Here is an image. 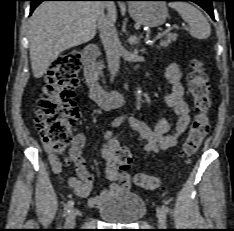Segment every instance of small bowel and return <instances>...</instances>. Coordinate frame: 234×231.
<instances>
[{
    "label": "small bowel",
    "mask_w": 234,
    "mask_h": 231,
    "mask_svg": "<svg viewBox=\"0 0 234 231\" xmlns=\"http://www.w3.org/2000/svg\"><path fill=\"white\" fill-rule=\"evenodd\" d=\"M165 75L171 85V92L165 95L164 101L178 116L173 133L167 134L171 129V123L165 117L160 119L153 127L132 117H121L112 122V126L115 127L124 121H128L131 128L139 133L143 149L151 153H157L176 146L191 120L190 109L184 97L182 73L179 66L177 64L169 65ZM84 143V136L78 134L70 148L69 159L75 165L77 177H70L68 185L77 196L86 198L90 207L97 208L126 188L129 184V177L118 170L117 152L120 145L112 131L108 130L104 133L100 153L106 162L105 177L110 184L99 194L92 196L94 174L87 169L85 160L82 157ZM49 162L54 173L59 174L62 171V163L57 155L50 152Z\"/></svg>",
    "instance_id": "small-bowel-1"
}]
</instances>
